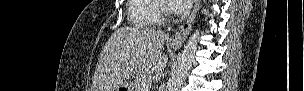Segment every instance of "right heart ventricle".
<instances>
[{"label":"right heart ventricle","instance_id":"1","mask_svg":"<svg viewBox=\"0 0 304 91\" xmlns=\"http://www.w3.org/2000/svg\"><path fill=\"white\" fill-rule=\"evenodd\" d=\"M160 4L157 0H130L128 20L139 28L154 27L159 20Z\"/></svg>","mask_w":304,"mask_h":91}]
</instances>
